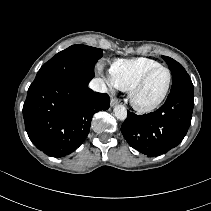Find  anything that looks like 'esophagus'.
<instances>
[{"instance_id": "esophagus-1", "label": "esophagus", "mask_w": 211, "mask_h": 211, "mask_svg": "<svg viewBox=\"0 0 211 211\" xmlns=\"http://www.w3.org/2000/svg\"><path fill=\"white\" fill-rule=\"evenodd\" d=\"M119 102H120L119 99L113 98V99H111L110 105L114 106V105H117Z\"/></svg>"}]
</instances>
